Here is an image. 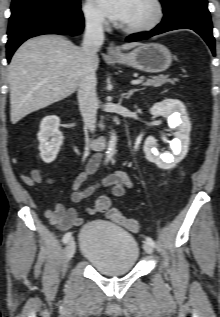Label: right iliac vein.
I'll return each mask as SVG.
<instances>
[{
  "label": "right iliac vein",
  "mask_w": 220,
  "mask_h": 317,
  "mask_svg": "<svg viewBox=\"0 0 220 317\" xmlns=\"http://www.w3.org/2000/svg\"><path fill=\"white\" fill-rule=\"evenodd\" d=\"M75 250H76V243L73 239H71L66 245V257L68 260H70L74 256Z\"/></svg>",
  "instance_id": "63e3f726"
}]
</instances>
